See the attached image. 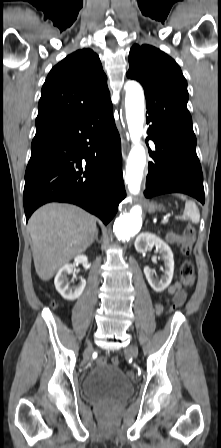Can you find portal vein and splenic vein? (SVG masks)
<instances>
[{
    "label": "portal vein and splenic vein",
    "mask_w": 221,
    "mask_h": 448,
    "mask_svg": "<svg viewBox=\"0 0 221 448\" xmlns=\"http://www.w3.org/2000/svg\"><path fill=\"white\" fill-rule=\"evenodd\" d=\"M167 223H168V218L164 217L163 220H162V224H167Z\"/></svg>",
    "instance_id": "portal-vein-and-splenic-vein-1"
}]
</instances>
